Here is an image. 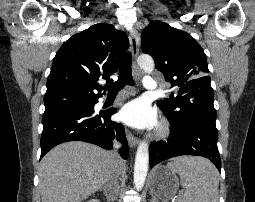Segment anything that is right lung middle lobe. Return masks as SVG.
<instances>
[{
  "mask_svg": "<svg viewBox=\"0 0 255 202\" xmlns=\"http://www.w3.org/2000/svg\"><path fill=\"white\" fill-rule=\"evenodd\" d=\"M93 103H87V104H81V105H77V106H88V107H93Z\"/></svg>",
  "mask_w": 255,
  "mask_h": 202,
  "instance_id": "1",
  "label": "right lung middle lobe"
}]
</instances>
